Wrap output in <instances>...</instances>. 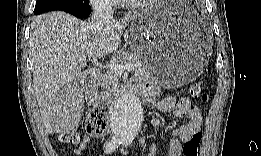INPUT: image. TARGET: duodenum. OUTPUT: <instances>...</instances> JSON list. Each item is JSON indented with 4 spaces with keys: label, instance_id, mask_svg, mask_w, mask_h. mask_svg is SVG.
Instances as JSON below:
<instances>
[{
    "label": "duodenum",
    "instance_id": "1",
    "mask_svg": "<svg viewBox=\"0 0 261 156\" xmlns=\"http://www.w3.org/2000/svg\"><path fill=\"white\" fill-rule=\"evenodd\" d=\"M88 73H89L90 77H92V78H98V76H99V71L95 68H90ZM126 91L130 95H137V92L132 85H127ZM115 99H116L115 96H110V97L105 98L100 104L103 106H106V107L112 106L115 102Z\"/></svg>",
    "mask_w": 261,
    "mask_h": 156
}]
</instances>
